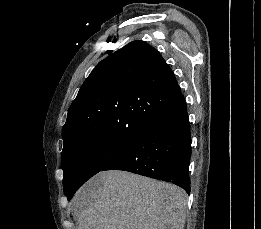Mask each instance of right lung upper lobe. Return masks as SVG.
Segmentation results:
<instances>
[{
    "instance_id": "cb5924a9",
    "label": "right lung upper lobe",
    "mask_w": 261,
    "mask_h": 229,
    "mask_svg": "<svg viewBox=\"0 0 261 229\" xmlns=\"http://www.w3.org/2000/svg\"><path fill=\"white\" fill-rule=\"evenodd\" d=\"M180 94L160 53L133 41L102 60L81 86L62 129L64 146L84 139L132 142Z\"/></svg>"
}]
</instances>
